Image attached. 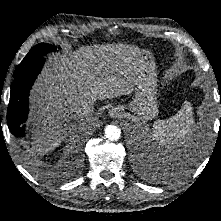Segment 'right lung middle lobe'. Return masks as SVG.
<instances>
[{
    "label": "right lung middle lobe",
    "mask_w": 221,
    "mask_h": 221,
    "mask_svg": "<svg viewBox=\"0 0 221 221\" xmlns=\"http://www.w3.org/2000/svg\"><path fill=\"white\" fill-rule=\"evenodd\" d=\"M56 47L54 45L40 43L33 47L30 52L25 56L20 65L16 68L14 74L24 68L25 66L31 64L33 61L43 57L47 53L54 51Z\"/></svg>",
    "instance_id": "obj_1"
}]
</instances>
